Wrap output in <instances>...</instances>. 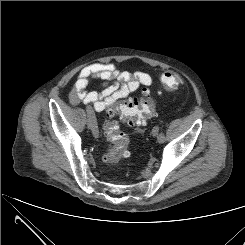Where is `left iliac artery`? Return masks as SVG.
I'll return each mask as SVG.
<instances>
[{"instance_id": "left-iliac-artery-1", "label": "left iliac artery", "mask_w": 245, "mask_h": 245, "mask_svg": "<svg viewBox=\"0 0 245 245\" xmlns=\"http://www.w3.org/2000/svg\"><path fill=\"white\" fill-rule=\"evenodd\" d=\"M158 132H159V129H158ZM158 140H159V142H164V140H165V134L163 132H161L159 134Z\"/></svg>"}]
</instances>
